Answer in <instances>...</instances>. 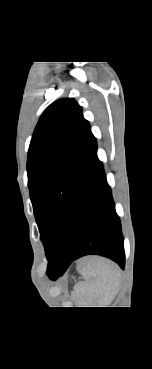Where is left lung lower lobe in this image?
Instances as JSON below:
<instances>
[{
	"mask_svg": "<svg viewBox=\"0 0 152 369\" xmlns=\"http://www.w3.org/2000/svg\"><path fill=\"white\" fill-rule=\"evenodd\" d=\"M88 254L108 257L124 268L121 224L103 164L97 157V143L88 158L59 252L49 262L47 274L56 279L72 261Z\"/></svg>",
	"mask_w": 152,
	"mask_h": 369,
	"instance_id": "1",
	"label": "left lung lower lobe"
}]
</instances>
